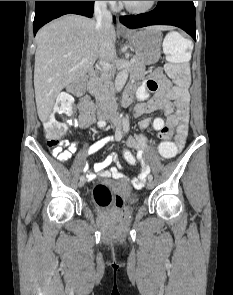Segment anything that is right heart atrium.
Segmentation results:
<instances>
[{
  "label": "right heart atrium",
  "instance_id": "obj_1",
  "mask_svg": "<svg viewBox=\"0 0 233 295\" xmlns=\"http://www.w3.org/2000/svg\"><path fill=\"white\" fill-rule=\"evenodd\" d=\"M101 4H108V5H114L115 1H98Z\"/></svg>",
  "mask_w": 233,
  "mask_h": 295
}]
</instances>
